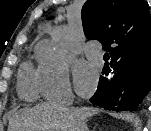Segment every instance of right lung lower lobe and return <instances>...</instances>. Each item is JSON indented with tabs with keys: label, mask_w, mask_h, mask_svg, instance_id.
<instances>
[{
	"label": "right lung lower lobe",
	"mask_w": 151,
	"mask_h": 131,
	"mask_svg": "<svg viewBox=\"0 0 151 131\" xmlns=\"http://www.w3.org/2000/svg\"><path fill=\"white\" fill-rule=\"evenodd\" d=\"M112 75L100 78L98 89L90 101L114 111L137 110L151 88V62L134 67L111 65Z\"/></svg>",
	"instance_id": "obj_1"
}]
</instances>
